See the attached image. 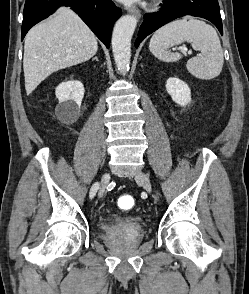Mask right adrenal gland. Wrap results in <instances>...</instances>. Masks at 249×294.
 Segmentation results:
<instances>
[{
    "label": "right adrenal gland",
    "mask_w": 249,
    "mask_h": 294,
    "mask_svg": "<svg viewBox=\"0 0 249 294\" xmlns=\"http://www.w3.org/2000/svg\"><path fill=\"white\" fill-rule=\"evenodd\" d=\"M92 60H96V61H98V58H97V57H94Z\"/></svg>",
    "instance_id": "1"
}]
</instances>
